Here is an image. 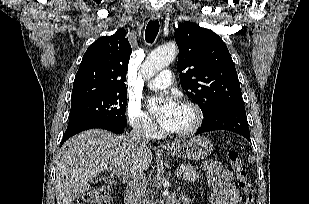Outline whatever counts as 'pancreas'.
I'll return each mask as SVG.
<instances>
[{
	"label": "pancreas",
	"instance_id": "1",
	"mask_svg": "<svg viewBox=\"0 0 309 204\" xmlns=\"http://www.w3.org/2000/svg\"><path fill=\"white\" fill-rule=\"evenodd\" d=\"M185 181H196L202 177V175L196 171L191 165H186L184 169L180 170Z\"/></svg>",
	"mask_w": 309,
	"mask_h": 204
}]
</instances>
